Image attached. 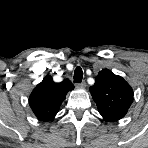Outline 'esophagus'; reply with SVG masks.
Masks as SVG:
<instances>
[{
	"label": "esophagus",
	"mask_w": 148,
	"mask_h": 148,
	"mask_svg": "<svg viewBox=\"0 0 148 148\" xmlns=\"http://www.w3.org/2000/svg\"><path fill=\"white\" fill-rule=\"evenodd\" d=\"M76 86L79 87V88H85L86 87V83L85 82L76 83Z\"/></svg>",
	"instance_id": "34e87169"
}]
</instances>
